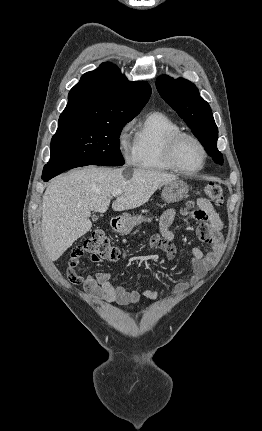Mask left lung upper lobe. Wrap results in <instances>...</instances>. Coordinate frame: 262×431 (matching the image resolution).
<instances>
[{"mask_svg":"<svg viewBox=\"0 0 262 431\" xmlns=\"http://www.w3.org/2000/svg\"><path fill=\"white\" fill-rule=\"evenodd\" d=\"M161 97L191 128L215 163L222 165L223 156L217 149L218 129L209 104L200 97L197 87L182 78L162 75L156 81Z\"/></svg>","mask_w":262,"mask_h":431,"instance_id":"obj_1","label":"left lung upper lobe"}]
</instances>
